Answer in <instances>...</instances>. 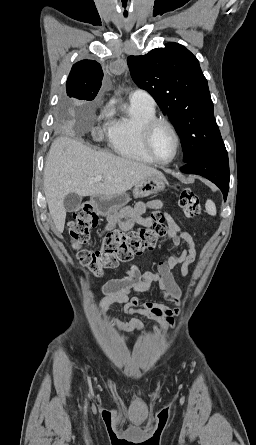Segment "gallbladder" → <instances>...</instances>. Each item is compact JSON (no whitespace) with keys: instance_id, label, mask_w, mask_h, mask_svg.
<instances>
[{"instance_id":"1","label":"gallbladder","mask_w":256,"mask_h":445,"mask_svg":"<svg viewBox=\"0 0 256 445\" xmlns=\"http://www.w3.org/2000/svg\"><path fill=\"white\" fill-rule=\"evenodd\" d=\"M82 197L76 193H69L65 196L63 204L67 212H73L80 208Z\"/></svg>"}]
</instances>
